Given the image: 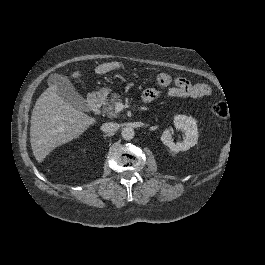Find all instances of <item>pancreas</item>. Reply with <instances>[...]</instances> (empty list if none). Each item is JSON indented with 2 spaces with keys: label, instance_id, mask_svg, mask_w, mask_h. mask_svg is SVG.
Instances as JSON below:
<instances>
[{
  "label": "pancreas",
  "instance_id": "cf45deb5",
  "mask_svg": "<svg viewBox=\"0 0 265 265\" xmlns=\"http://www.w3.org/2000/svg\"><path fill=\"white\" fill-rule=\"evenodd\" d=\"M120 101V95L112 93L111 96L105 100L102 107V113L107 115L109 118H116L118 116V112L115 110V106Z\"/></svg>",
  "mask_w": 265,
  "mask_h": 265
}]
</instances>
